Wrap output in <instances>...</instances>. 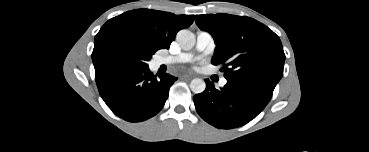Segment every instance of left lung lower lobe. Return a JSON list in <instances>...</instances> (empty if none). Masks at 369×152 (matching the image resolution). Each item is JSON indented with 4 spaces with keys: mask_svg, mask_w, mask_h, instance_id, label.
<instances>
[{
    "mask_svg": "<svg viewBox=\"0 0 369 152\" xmlns=\"http://www.w3.org/2000/svg\"><path fill=\"white\" fill-rule=\"evenodd\" d=\"M205 82V91L193 97L196 110L206 122L223 129L240 127L254 119L268 104L275 88L227 80L217 90L212 82Z\"/></svg>",
    "mask_w": 369,
    "mask_h": 152,
    "instance_id": "0a47b994",
    "label": "left lung lower lobe"
}]
</instances>
